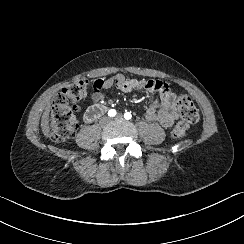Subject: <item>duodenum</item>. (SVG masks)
Wrapping results in <instances>:
<instances>
[{"instance_id":"obj_1","label":"duodenum","mask_w":244,"mask_h":244,"mask_svg":"<svg viewBox=\"0 0 244 244\" xmlns=\"http://www.w3.org/2000/svg\"><path fill=\"white\" fill-rule=\"evenodd\" d=\"M107 108L104 105L98 104L96 106H94L92 108V110L90 111L92 116H93V120H95L97 117L103 115L106 112Z\"/></svg>"}]
</instances>
